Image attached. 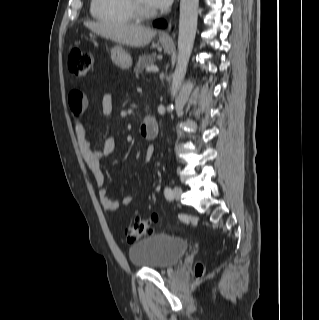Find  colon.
Returning a JSON list of instances; mask_svg holds the SVG:
<instances>
[{
  "label": "colon",
  "mask_w": 319,
  "mask_h": 320,
  "mask_svg": "<svg viewBox=\"0 0 319 320\" xmlns=\"http://www.w3.org/2000/svg\"><path fill=\"white\" fill-rule=\"evenodd\" d=\"M92 56L90 53L80 49H72L68 58L70 72L76 77H85L91 68ZM159 223L157 214L151 215L148 219H135L126 229V236L129 241H134L143 235H149L156 231ZM203 266L198 264L196 273H203Z\"/></svg>",
  "instance_id": "5ec220e1"
}]
</instances>
